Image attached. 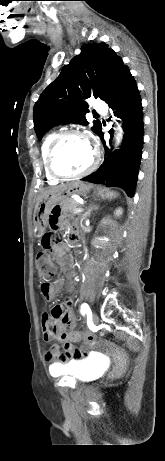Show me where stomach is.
Segmentation results:
<instances>
[{"label": "stomach", "instance_id": "obj_1", "mask_svg": "<svg viewBox=\"0 0 165 461\" xmlns=\"http://www.w3.org/2000/svg\"><path fill=\"white\" fill-rule=\"evenodd\" d=\"M91 186L89 184H85L83 182H73L71 183L65 190L68 195L70 194H78V195H85ZM66 196L64 195V190L49 194L45 196L38 205L37 208V221H36V228L39 231V234H43L46 227L49 224L48 216L51 214V206L52 204H59L62 202Z\"/></svg>", "mask_w": 165, "mask_h": 461}]
</instances>
